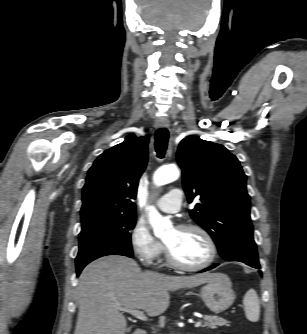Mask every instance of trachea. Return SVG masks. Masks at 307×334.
<instances>
[{"mask_svg": "<svg viewBox=\"0 0 307 334\" xmlns=\"http://www.w3.org/2000/svg\"><path fill=\"white\" fill-rule=\"evenodd\" d=\"M169 133L166 128H160L155 133V150L159 158H163L167 149Z\"/></svg>", "mask_w": 307, "mask_h": 334, "instance_id": "trachea-1", "label": "trachea"}]
</instances>
